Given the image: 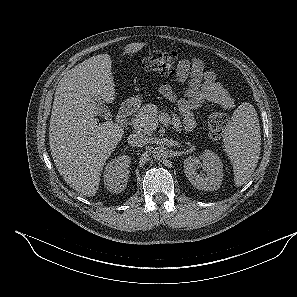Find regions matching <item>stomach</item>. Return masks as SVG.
Listing matches in <instances>:
<instances>
[{"instance_id": "stomach-1", "label": "stomach", "mask_w": 297, "mask_h": 297, "mask_svg": "<svg viewBox=\"0 0 297 297\" xmlns=\"http://www.w3.org/2000/svg\"><path fill=\"white\" fill-rule=\"evenodd\" d=\"M140 100V97H136L133 99V101H139Z\"/></svg>"}]
</instances>
